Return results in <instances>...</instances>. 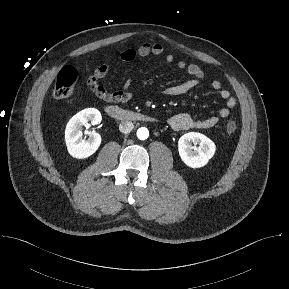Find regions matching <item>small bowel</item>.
Returning <instances> with one entry per match:
<instances>
[{
    "label": "small bowel",
    "mask_w": 289,
    "mask_h": 289,
    "mask_svg": "<svg viewBox=\"0 0 289 289\" xmlns=\"http://www.w3.org/2000/svg\"><path fill=\"white\" fill-rule=\"evenodd\" d=\"M164 54V48L157 42H145L138 48H128L119 53L117 59L122 62H131L137 57L147 56H161ZM165 60L168 63L174 61L171 54L165 55ZM179 70L185 71L189 79L169 86L164 89L163 93L169 97H176L187 94L194 88L199 86L205 81L204 71L196 64H187L184 61H178L176 64ZM109 72V65L104 63L99 65L94 72L88 77L87 85L89 89L100 99L111 103H126L131 98V93L126 86L123 90L109 92L105 87L100 84V81L106 77ZM212 89L218 91L220 97L225 101L226 107L221 108L217 113L206 119H197L189 114L181 113L173 115L168 123L174 130H188V129H208L216 126L221 119L227 118L231 109L237 104L236 99L226 89L222 88L219 80H213L210 83Z\"/></svg>",
    "instance_id": "c3829d8e"
}]
</instances>
